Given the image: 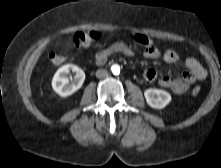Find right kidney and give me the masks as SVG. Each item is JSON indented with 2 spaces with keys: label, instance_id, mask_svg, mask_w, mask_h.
<instances>
[{
  "label": "right kidney",
  "instance_id": "1",
  "mask_svg": "<svg viewBox=\"0 0 221 168\" xmlns=\"http://www.w3.org/2000/svg\"><path fill=\"white\" fill-rule=\"evenodd\" d=\"M70 71L76 72L74 79L69 80ZM85 80V73L76 65L67 64L58 69L52 79L53 90L61 97H68L79 90Z\"/></svg>",
  "mask_w": 221,
  "mask_h": 168
}]
</instances>
